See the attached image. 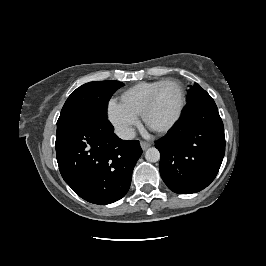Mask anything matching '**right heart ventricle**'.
I'll list each match as a JSON object with an SVG mask.
<instances>
[{"instance_id":"obj_1","label":"right heart ventricle","mask_w":266,"mask_h":266,"mask_svg":"<svg viewBox=\"0 0 266 266\" xmlns=\"http://www.w3.org/2000/svg\"><path fill=\"white\" fill-rule=\"evenodd\" d=\"M163 81L141 82L132 86L122 94V103L135 114L141 115L151 94Z\"/></svg>"}]
</instances>
